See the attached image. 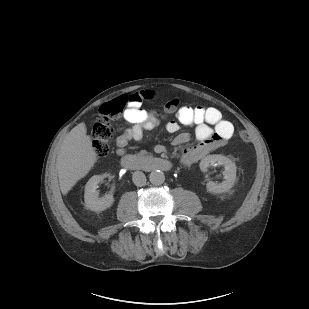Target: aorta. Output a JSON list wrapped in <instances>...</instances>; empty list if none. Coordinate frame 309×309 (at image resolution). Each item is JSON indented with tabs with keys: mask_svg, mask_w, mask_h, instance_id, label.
Wrapping results in <instances>:
<instances>
[{
	"mask_svg": "<svg viewBox=\"0 0 309 309\" xmlns=\"http://www.w3.org/2000/svg\"><path fill=\"white\" fill-rule=\"evenodd\" d=\"M149 180L153 185H161L165 181V175L162 171L155 170L150 173Z\"/></svg>",
	"mask_w": 309,
	"mask_h": 309,
	"instance_id": "aorta-1",
	"label": "aorta"
}]
</instances>
